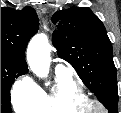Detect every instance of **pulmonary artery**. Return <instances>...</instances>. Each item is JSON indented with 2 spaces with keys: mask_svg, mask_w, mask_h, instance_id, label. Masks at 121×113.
I'll list each match as a JSON object with an SVG mask.
<instances>
[{
  "mask_svg": "<svg viewBox=\"0 0 121 113\" xmlns=\"http://www.w3.org/2000/svg\"><path fill=\"white\" fill-rule=\"evenodd\" d=\"M69 68L63 64H58L55 68L56 73H69Z\"/></svg>",
  "mask_w": 121,
  "mask_h": 113,
  "instance_id": "1",
  "label": "pulmonary artery"
}]
</instances>
